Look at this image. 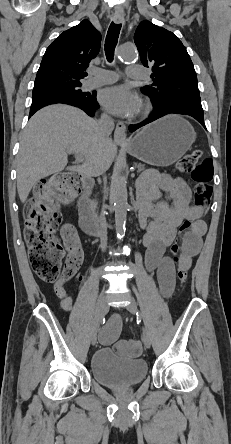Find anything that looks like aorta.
I'll list each match as a JSON object with an SVG mask.
<instances>
[{
    "label": "aorta",
    "instance_id": "obj_1",
    "mask_svg": "<svg viewBox=\"0 0 231 444\" xmlns=\"http://www.w3.org/2000/svg\"><path fill=\"white\" fill-rule=\"evenodd\" d=\"M118 57L123 61H133L136 58L134 48L121 46ZM114 211L117 238L121 239L125 233L126 216L128 210L127 179L122 170L117 168L113 175Z\"/></svg>",
    "mask_w": 231,
    "mask_h": 444
}]
</instances>
